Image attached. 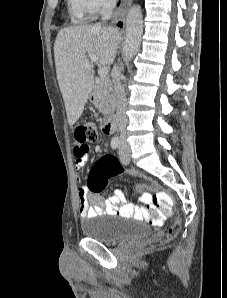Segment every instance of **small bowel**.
Listing matches in <instances>:
<instances>
[{
    "label": "small bowel",
    "mask_w": 227,
    "mask_h": 298,
    "mask_svg": "<svg viewBox=\"0 0 227 298\" xmlns=\"http://www.w3.org/2000/svg\"><path fill=\"white\" fill-rule=\"evenodd\" d=\"M93 146L92 142H74L72 157L75 158V167L77 171L83 169L87 162L88 151ZM77 180L80 182L79 174ZM142 180H149L142 178ZM139 201L146 206L127 203L125 194L122 190L116 189L114 194L104 200L99 193H94L86 186H80L78 189L79 215L82 219L93 218L98 215H119L122 217H138L149 220L151 212L155 213L153 206L154 193L150 190H144ZM163 218L165 215H162Z\"/></svg>",
    "instance_id": "small-bowel-1"
}]
</instances>
